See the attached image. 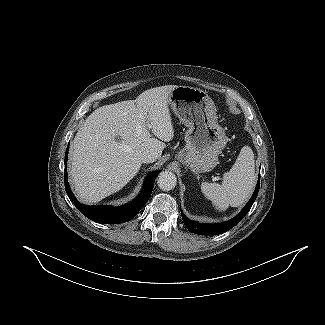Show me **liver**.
I'll return each instance as SVG.
<instances>
[{
	"mask_svg": "<svg viewBox=\"0 0 325 325\" xmlns=\"http://www.w3.org/2000/svg\"><path fill=\"white\" fill-rule=\"evenodd\" d=\"M176 87L148 89L136 100L104 105L87 117L70 152L69 174L80 201L96 203L121 190L140 170L144 151L161 157L164 142L174 137L168 103Z\"/></svg>",
	"mask_w": 325,
	"mask_h": 325,
	"instance_id": "1",
	"label": "liver"
}]
</instances>
